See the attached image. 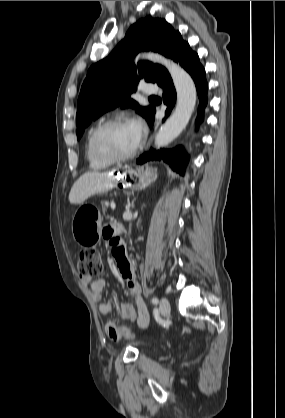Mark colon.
I'll return each instance as SVG.
<instances>
[{"instance_id": "obj_1", "label": "colon", "mask_w": 285, "mask_h": 418, "mask_svg": "<svg viewBox=\"0 0 285 418\" xmlns=\"http://www.w3.org/2000/svg\"><path fill=\"white\" fill-rule=\"evenodd\" d=\"M112 254L117 261H124L127 257L126 250L123 242H119L118 245L112 250ZM102 271V262L100 256L95 250H85L79 255L77 262V272L82 277H95ZM108 333H118L125 337L132 336V333L124 326L121 325H109L107 327Z\"/></svg>"}]
</instances>
